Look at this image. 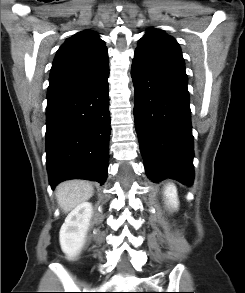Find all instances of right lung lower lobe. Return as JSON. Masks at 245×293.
Wrapping results in <instances>:
<instances>
[{
  "instance_id": "1",
  "label": "right lung lower lobe",
  "mask_w": 245,
  "mask_h": 293,
  "mask_svg": "<svg viewBox=\"0 0 245 293\" xmlns=\"http://www.w3.org/2000/svg\"><path fill=\"white\" fill-rule=\"evenodd\" d=\"M109 71L52 100L46 108V163L52 188L69 179L103 185L111 133Z\"/></svg>"
}]
</instances>
